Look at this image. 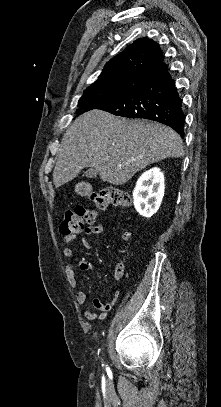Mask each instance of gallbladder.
Listing matches in <instances>:
<instances>
[{
  "mask_svg": "<svg viewBox=\"0 0 221 407\" xmlns=\"http://www.w3.org/2000/svg\"><path fill=\"white\" fill-rule=\"evenodd\" d=\"M84 175H85L86 177H89V178L96 177V176H97V170H95V169H93V168H90V169H88V170L84 173Z\"/></svg>",
  "mask_w": 221,
  "mask_h": 407,
  "instance_id": "gallbladder-1",
  "label": "gallbladder"
}]
</instances>
